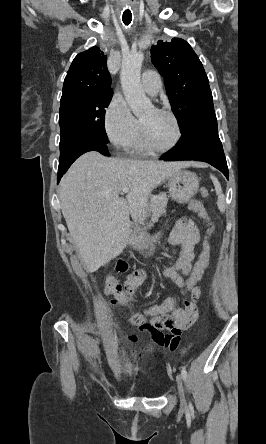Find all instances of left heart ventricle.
Here are the masks:
<instances>
[{"label":"left heart ventricle","mask_w":266,"mask_h":444,"mask_svg":"<svg viewBox=\"0 0 266 444\" xmlns=\"http://www.w3.org/2000/svg\"><path fill=\"white\" fill-rule=\"evenodd\" d=\"M140 121L144 124L154 145L166 148L174 141L176 128L169 116L157 113L154 109H151L140 118Z\"/></svg>","instance_id":"1"}]
</instances>
